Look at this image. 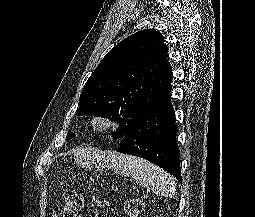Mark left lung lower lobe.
I'll list each match as a JSON object with an SVG mask.
<instances>
[{
    "label": "left lung lower lobe",
    "mask_w": 255,
    "mask_h": 217,
    "mask_svg": "<svg viewBox=\"0 0 255 217\" xmlns=\"http://www.w3.org/2000/svg\"><path fill=\"white\" fill-rule=\"evenodd\" d=\"M171 87V84L166 87L147 107L125 134L116 151L144 158L182 183Z\"/></svg>",
    "instance_id": "obj_1"
}]
</instances>
